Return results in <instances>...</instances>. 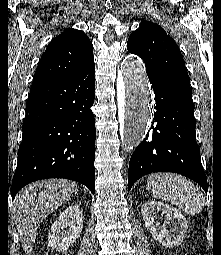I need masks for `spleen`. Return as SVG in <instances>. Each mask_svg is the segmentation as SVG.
<instances>
[{"label":"spleen","mask_w":221,"mask_h":255,"mask_svg":"<svg viewBox=\"0 0 221 255\" xmlns=\"http://www.w3.org/2000/svg\"><path fill=\"white\" fill-rule=\"evenodd\" d=\"M147 190L157 199L169 201L184 212L195 215L206 205L199 189L188 179L173 173L151 174Z\"/></svg>","instance_id":"1"}]
</instances>
